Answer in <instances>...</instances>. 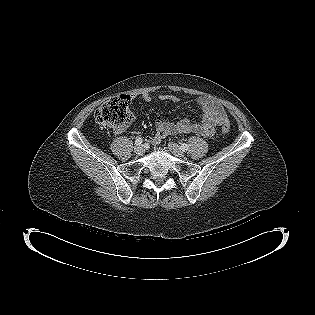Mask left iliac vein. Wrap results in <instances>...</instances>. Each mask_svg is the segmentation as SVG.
I'll return each mask as SVG.
<instances>
[{"label":"left iliac vein","mask_w":315,"mask_h":315,"mask_svg":"<svg viewBox=\"0 0 315 315\" xmlns=\"http://www.w3.org/2000/svg\"><path fill=\"white\" fill-rule=\"evenodd\" d=\"M168 149L176 157H183L184 156V151L176 143L170 142L168 144Z\"/></svg>","instance_id":"left-iliac-vein-1"}]
</instances>
